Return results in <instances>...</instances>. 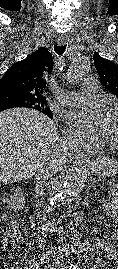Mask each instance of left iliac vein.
Returning a JSON list of instances; mask_svg holds the SVG:
<instances>
[{
	"instance_id": "left-iliac-vein-1",
	"label": "left iliac vein",
	"mask_w": 118,
	"mask_h": 269,
	"mask_svg": "<svg viewBox=\"0 0 118 269\" xmlns=\"http://www.w3.org/2000/svg\"><path fill=\"white\" fill-rule=\"evenodd\" d=\"M59 265H60L61 269H67V267L66 266H63L62 263H59Z\"/></svg>"
}]
</instances>
